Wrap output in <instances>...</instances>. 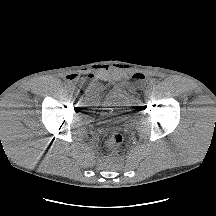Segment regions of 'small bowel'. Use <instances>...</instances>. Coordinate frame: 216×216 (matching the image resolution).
I'll list each match as a JSON object with an SVG mask.
<instances>
[{"label":"small bowel","instance_id":"1","mask_svg":"<svg viewBox=\"0 0 216 216\" xmlns=\"http://www.w3.org/2000/svg\"><path fill=\"white\" fill-rule=\"evenodd\" d=\"M77 75H69L67 76V80L69 82H74L77 80ZM133 78L135 80H142L144 78V75L141 74V73H136L133 75ZM100 87L99 83L98 82H92L91 85H90V90L92 91V93L94 94V92L96 91V89H98Z\"/></svg>","mask_w":216,"mask_h":216}]
</instances>
